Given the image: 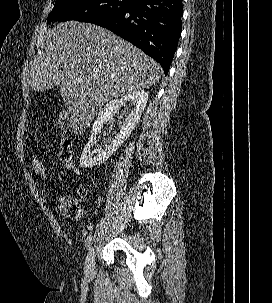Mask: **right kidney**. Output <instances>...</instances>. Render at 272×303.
<instances>
[{"instance_id": "right-kidney-1", "label": "right kidney", "mask_w": 272, "mask_h": 303, "mask_svg": "<svg viewBox=\"0 0 272 303\" xmlns=\"http://www.w3.org/2000/svg\"><path fill=\"white\" fill-rule=\"evenodd\" d=\"M128 101H131L135 107L126 116L120 127L119 133H117L113 139H110L109 143L106 144L103 149H100L96 155H93L91 147L96 143L103 125L107 122L113 121L118 113L119 107ZM147 101L148 93L144 90H139L131 92L119 100H113L107 103L104 108L99 111L98 116L93 123L90 140L84 147L79 160L80 166L83 168H92L106 161L129 137L133 129L136 127L145 109Z\"/></svg>"}]
</instances>
